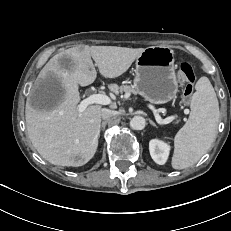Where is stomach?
<instances>
[{
  "instance_id": "0dacf381",
  "label": "stomach",
  "mask_w": 231,
  "mask_h": 231,
  "mask_svg": "<svg viewBox=\"0 0 231 231\" xmlns=\"http://www.w3.org/2000/svg\"><path fill=\"white\" fill-rule=\"evenodd\" d=\"M174 52L169 47L146 48L136 59L134 89L145 100L164 104L175 98L178 81Z\"/></svg>"
}]
</instances>
